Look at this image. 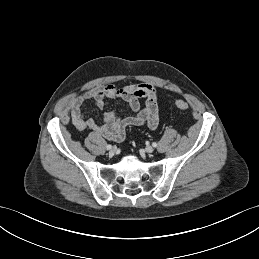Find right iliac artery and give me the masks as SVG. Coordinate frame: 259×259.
<instances>
[{"mask_svg":"<svg viewBox=\"0 0 259 259\" xmlns=\"http://www.w3.org/2000/svg\"><path fill=\"white\" fill-rule=\"evenodd\" d=\"M111 148H112V145H110V144L106 146L107 150H110Z\"/></svg>","mask_w":259,"mask_h":259,"instance_id":"82829eb1","label":"right iliac artery"}]
</instances>
